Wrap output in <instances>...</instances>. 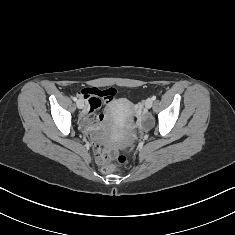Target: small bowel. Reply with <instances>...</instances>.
<instances>
[{"mask_svg": "<svg viewBox=\"0 0 235 235\" xmlns=\"http://www.w3.org/2000/svg\"><path fill=\"white\" fill-rule=\"evenodd\" d=\"M103 90L97 88H84L80 96L85 100V108L80 116V121L85 130L92 132L97 128L114 127L119 119H128L131 116V102L125 97L104 98ZM106 99L104 112L93 116Z\"/></svg>", "mask_w": 235, "mask_h": 235, "instance_id": "c3829d8e", "label": "small bowel"}]
</instances>
